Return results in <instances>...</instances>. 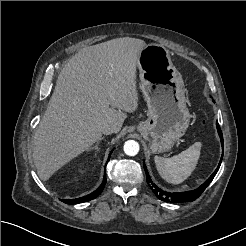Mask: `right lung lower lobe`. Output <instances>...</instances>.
Listing matches in <instances>:
<instances>
[{"instance_id":"obj_1","label":"right lung lower lobe","mask_w":246,"mask_h":246,"mask_svg":"<svg viewBox=\"0 0 246 246\" xmlns=\"http://www.w3.org/2000/svg\"><path fill=\"white\" fill-rule=\"evenodd\" d=\"M110 160V156L107 160V162ZM105 184H106V173L104 175V178H103V182L102 184L100 185V187L95 190L94 192H92L91 194L89 195H86L84 197H81V198H77V199H70V200H62L64 203L66 204H77V203H81V202H87V201H90L94 198H96L103 190V188L105 187Z\"/></svg>"}]
</instances>
